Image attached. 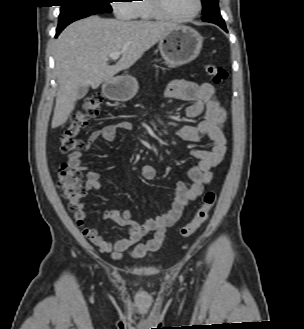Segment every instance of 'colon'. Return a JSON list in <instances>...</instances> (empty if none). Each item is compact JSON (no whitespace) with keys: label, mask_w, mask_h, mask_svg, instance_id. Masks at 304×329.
<instances>
[{"label":"colon","mask_w":304,"mask_h":329,"mask_svg":"<svg viewBox=\"0 0 304 329\" xmlns=\"http://www.w3.org/2000/svg\"><path fill=\"white\" fill-rule=\"evenodd\" d=\"M205 71L217 85H224L228 81V74L223 68L207 64ZM100 106V95L93 94L86 98L81 110L75 114L70 125L60 137V149L63 153H72L81 148L82 144L77 139V135L92 119L98 116ZM57 186L61 190L68 208L75 211L86 193L82 174L63 164L58 170ZM216 199L217 194L214 191H208L204 194L202 205L197 209L194 218L180 229V236L189 237L203 226L216 203Z\"/></svg>","instance_id":"5ec220e1"}]
</instances>
